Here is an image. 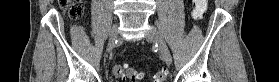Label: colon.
I'll return each instance as SVG.
<instances>
[{"label": "colon", "mask_w": 279, "mask_h": 82, "mask_svg": "<svg viewBox=\"0 0 279 82\" xmlns=\"http://www.w3.org/2000/svg\"><path fill=\"white\" fill-rule=\"evenodd\" d=\"M61 7L67 12L68 16L73 20H79L84 14V7L81 1L60 0ZM194 10L192 16L195 19L202 17L206 10L208 0H194ZM114 77L118 79H129L138 82L143 77V73L128 65L116 64L112 67ZM167 70L159 69L155 74L154 82H164L167 77Z\"/></svg>", "instance_id": "obj_1"}]
</instances>
